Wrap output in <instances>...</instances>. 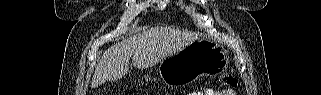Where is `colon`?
Masks as SVG:
<instances>
[{
  "mask_svg": "<svg viewBox=\"0 0 321 95\" xmlns=\"http://www.w3.org/2000/svg\"><path fill=\"white\" fill-rule=\"evenodd\" d=\"M220 83L228 87H235L237 79L233 75L225 73L220 76Z\"/></svg>",
  "mask_w": 321,
  "mask_h": 95,
  "instance_id": "colon-1",
  "label": "colon"
}]
</instances>
